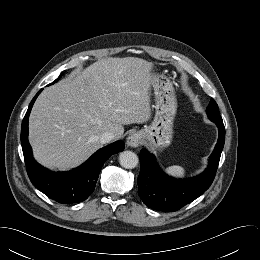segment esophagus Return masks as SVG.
I'll return each mask as SVG.
<instances>
[{
    "label": "esophagus",
    "mask_w": 260,
    "mask_h": 260,
    "mask_svg": "<svg viewBox=\"0 0 260 260\" xmlns=\"http://www.w3.org/2000/svg\"><path fill=\"white\" fill-rule=\"evenodd\" d=\"M142 139V135L138 132L132 133L127 138V145L129 147L136 148L140 145Z\"/></svg>",
    "instance_id": "obj_1"
}]
</instances>
